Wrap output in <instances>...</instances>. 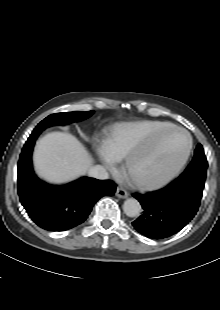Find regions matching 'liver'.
Returning a JSON list of instances; mask_svg holds the SVG:
<instances>
[{
    "mask_svg": "<svg viewBox=\"0 0 220 310\" xmlns=\"http://www.w3.org/2000/svg\"><path fill=\"white\" fill-rule=\"evenodd\" d=\"M37 174L51 183H65L84 175L93 159L73 135L51 132L42 137L33 155Z\"/></svg>",
    "mask_w": 220,
    "mask_h": 310,
    "instance_id": "1",
    "label": "liver"
}]
</instances>
